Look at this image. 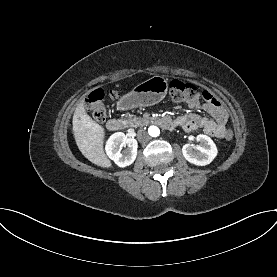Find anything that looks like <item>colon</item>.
I'll return each mask as SVG.
<instances>
[{"label":"colon","instance_id":"obj_1","mask_svg":"<svg viewBox=\"0 0 277 277\" xmlns=\"http://www.w3.org/2000/svg\"><path fill=\"white\" fill-rule=\"evenodd\" d=\"M170 95L176 103H189L198 98V92L194 85L186 81L174 79L169 85ZM104 94L101 90H94L86 99V109L91 113L93 119L102 123L106 119L107 111L103 103ZM235 127L232 124L227 125L224 135L226 142H231L235 138Z\"/></svg>","mask_w":277,"mask_h":277}]
</instances>
